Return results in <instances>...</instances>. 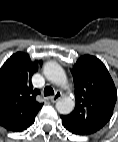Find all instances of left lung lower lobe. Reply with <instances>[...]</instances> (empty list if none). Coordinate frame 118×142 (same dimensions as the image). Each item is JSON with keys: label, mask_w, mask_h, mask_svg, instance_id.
Listing matches in <instances>:
<instances>
[{"label": "left lung lower lobe", "mask_w": 118, "mask_h": 142, "mask_svg": "<svg viewBox=\"0 0 118 142\" xmlns=\"http://www.w3.org/2000/svg\"><path fill=\"white\" fill-rule=\"evenodd\" d=\"M62 125L72 134L75 135H87V133H85L84 131H82L79 127H77L76 125H74L71 122L62 120Z\"/></svg>", "instance_id": "left-lung-lower-lobe-1"}]
</instances>
